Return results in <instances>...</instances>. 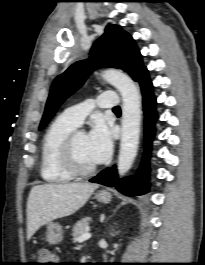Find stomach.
Here are the masks:
<instances>
[{"instance_id": "stomach-1", "label": "stomach", "mask_w": 205, "mask_h": 265, "mask_svg": "<svg viewBox=\"0 0 205 265\" xmlns=\"http://www.w3.org/2000/svg\"><path fill=\"white\" fill-rule=\"evenodd\" d=\"M95 199L101 203H109L111 201V194L107 191H100L95 194ZM63 239L62 227L55 222L47 224L46 240L50 244H58Z\"/></svg>"}]
</instances>
